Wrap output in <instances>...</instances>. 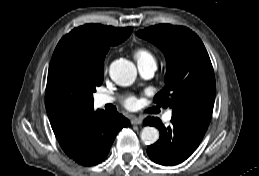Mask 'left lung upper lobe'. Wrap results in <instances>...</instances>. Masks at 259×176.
Returning a JSON list of instances; mask_svg holds the SVG:
<instances>
[{
	"mask_svg": "<svg viewBox=\"0 0 259 176\" xmlns=\"http://www.w3.org/2000/svg\"><path fill=\"white\" fill-rule=\"evenodd\" d=\"M136 34L158 46L168 62L166 85L154 101L166 104L174 116L209 125L216 95L215 76L197 34L170 24L151 26Z\"/></svg>",
	"mask_w": 259,
	"mask_h": 176,
	"instance_id": "left-lung-upper-lobe-1",
	"label": "left lung upper lobe"
}]
</instances>
